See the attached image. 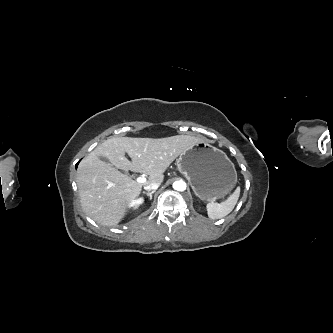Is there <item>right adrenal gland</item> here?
<instances>
[{
    "mask_svg": "<svg viewBox=\"0 0 333 333\" xmlns=\"http://www.w3.org/2000/svg\"><path fill=\"white\" fill-rule=\"evenodd\" d=\"M155 192H156V190H153V191H151V192H145V191H143V194L149 196V199L152 200V195H153Z\"/></svg>",
    "mask_w": 333,
    "mask_h": 333,
    "instance_id": "right-adrenal-gland-1",
    "label": "right adrenal gland"
}]
</instances>
